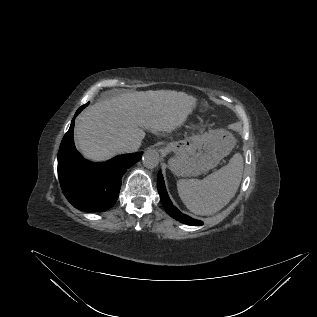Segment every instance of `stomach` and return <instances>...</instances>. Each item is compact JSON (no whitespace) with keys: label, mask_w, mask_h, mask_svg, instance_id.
<instances>
[{"label":"stomach","mask_w":317,"mask_h":317,"mask_svg":"<svg viewBox=\"0 0 317 317\" xmlns=\"http://www.w3.org/2000/svg\"><path fill=\"white\" fill-rule=\"evenodd\" d=\"M204 106H207L206 102ZM235 143L234 136L224 129L170 142L165 148L174 152L175 156L169 160V168L176 176L203 174L216 167L232 151Z\"/></svg>","instance_id":"0dacf381"}]
</instances>
